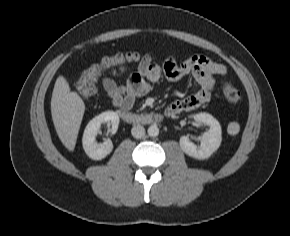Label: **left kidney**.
Segmentation results:
<instances>
[{"instance_id": "5707ae66", "label": "left kidney", "mask_w": 290, "mask_h": 236, "mask_svg": "<svg viewBox=\"0 0 290 236\" xmlns=\"http://www.w3.org/2000/svg\"><path fill=\"white\" fill-rule=\"evenodd\" d=\"M196 122L207 124L210 128L201 137L200 146L193 144L187 136L180 138V147L187 155L196 159H206L215 152L222 141V131L219 122L208 113L193 115Z\"/></svg>"}]
</instances>
